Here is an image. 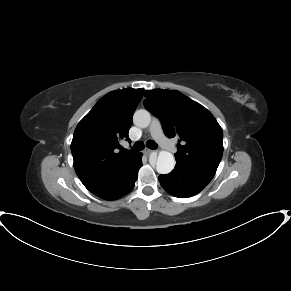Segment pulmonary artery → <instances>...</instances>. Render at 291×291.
Masks as SVG:
<instances>
[{"label":"pulmonary artery","instance_id":"obj_1","mask_svg":"<svg viewBox=\"0 0 291 291\" xmlns=\"http://www.w3.org/2000/svg\"><path fill=\"white\" fill-rule=\"evenodd\" d=\"M148 131L152 138L166 149L174 150L176 148L174 142L164 135L161 121L158 118H153Z\"/></svg>","mask_w":291,"mask_h":291}]
</instances>
